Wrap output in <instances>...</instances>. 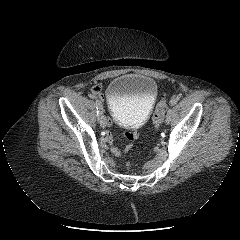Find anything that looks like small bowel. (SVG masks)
<instances>
[{"label":"small bowel","mask_w":240,"mask_h":240,"mask_svg":"<svg viewBox=\"0 0 240 240\" xmlns=\"http://www.w3.org/2000/svg\"><path fill=\"white\" fill-rule=\"evenodd\" d=\"M97 98H98L99 101L102 102V101L105 100L106 97H105L104 94L101 93V94L98 95ZM105 120H106V126H107V128L110 129V130L113 129L114 126H115V122H114L113 117L109 115V116L106 117ZM139 137H140L139 132L134 131V130H131V131H129V132L126 133V138H127V140H128L129 142H131V143L136 142V141L139 139ZM108 140H111V138L108 137ZM130 148H131V144L127 145L124 149H120V148H118V147H112L111 151H112L113 154H115L116 156H120L121 154L127 152Z\"/></svg>","instance_id":"1"}]
</instances>
